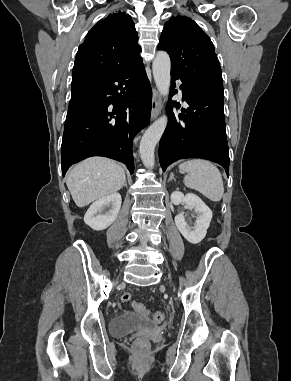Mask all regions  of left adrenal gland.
I'll use <instances>...</instances> for the list:
<instances>
[{
	"instance_id": "obj_1",
	"label": "left adrenal gland",
	"mask_w": 291,
	"mask_h": 381,
	"mask_svg": "<svg viewBox=\"0 0 291 381\" xmlns=\"http://www.w3.org/2000/svg\"><path fill=\"white\" fill-rule=\"evenodd\" d=\"M172 179H174V174L173 173L170 174V177H169L168 181H172Z\"/></svg>"
}]
</instances>
